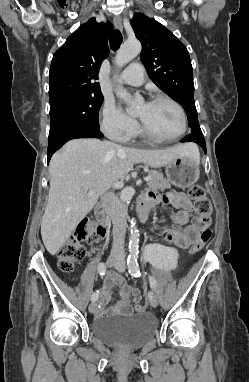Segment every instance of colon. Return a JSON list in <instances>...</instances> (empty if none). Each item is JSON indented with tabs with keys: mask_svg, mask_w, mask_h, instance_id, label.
<instances>
[{
	"mask_svg": "<svg viewBox=\"0 0 249 382\" xmlns=\"http://www.w3.org/2000/svg\"><path fill=\"white\" fill-rule=\"evenodd\" d=\"M188 196L194 201L196 217L194 224L200 231L199 237L190 247V253L196 254L201 251L210 241L212 232V212L213 207L205 190L200 185H192L188 189ZM102 230L93 221L82 219L75 232L61 246L58 251V266L64 273H70L74 270L75 264L81 261L85 256L84 242L94 243L101 236ZM136 310L142 312L145 306L141 303L139 295H135Z\"/></svg>",
	"mask_w": 249,
	"mask_h": 382,
	"instance_id": "obj_1",
	"label": "colon"
}]
</instances>
